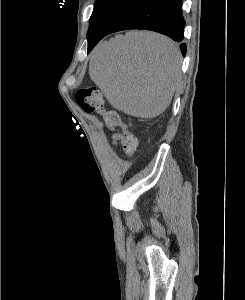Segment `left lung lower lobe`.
Wrapping results in <instances>:
<instances>
[{
	"mask_svg": "<svg viewBox=\"0 0 245 300\" xmlns=\"http://www.w3.org/2000/svg\"><path fill=\"white\" fill-rule=\"evenodd\" d=\"M182 0H139L127 9L105 33L94 31L87 37L88 53L106 35L130 29H144L167 35L174 41L184 38L185 22L182 17ZM182 55L186 54V44L181 43Z\"/></svg>",
	"mask_w": 245,
	"mask_h": 300,
	"instance_id": "obj_1",
	"label": "left lung lower lobe"
}]
</instances>
